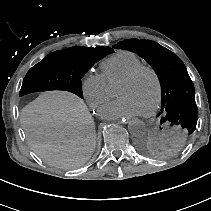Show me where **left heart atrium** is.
<instances>
[{
	"label": "left heart atrium",
	"instance_id": "obj_1",
	"mask_svg": "<svg viewBox=\"0 0 211 211\" xmlns=\"http://www.w3.org/2000/svg\"><path fill=\"white\" fill-rule=\"evenodd\" d=\"M142 114L137 105L128 97H119L110 103L101 111L105 118H118L123 116H136Z\"/></svg>",
	"mask_w": 211,
	"mask_h": 211
}]
</instances>
